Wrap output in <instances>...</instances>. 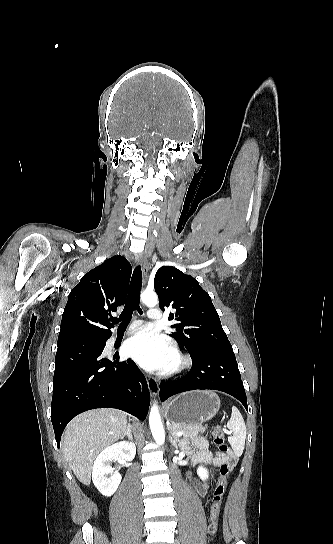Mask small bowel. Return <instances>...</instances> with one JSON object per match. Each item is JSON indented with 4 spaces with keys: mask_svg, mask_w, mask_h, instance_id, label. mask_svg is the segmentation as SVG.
Returning <instances> with one entry per match:
<instances>
[{
    "mask_svg": "<svg viewBox=\"0 0 333 544\" xmlns=\"http://www.w3.org/2000/svg\"><path fill=\"white\" fill-rule=\"evenodd\" d=\"M194 445L199 450L197 453H193L186 447L187 453L190 455L192 465L194 467L200 464L211 465L214 467L227 464L230 469H233L237 464V456L233 451L230 450L227 454L212 453L208 448L207 440L203 437L196 438L194 440ZM189 477L195 491L200 496L204 497L208 492L209 484L200 478L192 477L191 475Z\"/></svg>",
    "mask_w": 333,
    "mask_h": 544,
    "instance_id": "small-bowel-1",
    "label": "small bowel"
}]
</instances>
